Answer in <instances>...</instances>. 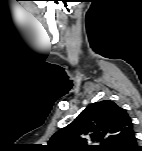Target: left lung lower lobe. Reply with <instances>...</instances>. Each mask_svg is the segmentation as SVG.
<instances>
[{
    "instance_id": "left-lung-lower-lobe-1",
    "label": "left lung lower lobe",
    "mask_w": 142,
    "mask_h": 151,
    "mask_svg": "<svg viewBox=\"0 0 142 151\" xmlns=\"http://www.w3.org/2000/svg\"><path fill=\"white\" fill-rule=\"evenodd\" d=\"M120 151H142V148L137 146L135 133H133L123 144Z\"/></svg>"
}]
</instances>
